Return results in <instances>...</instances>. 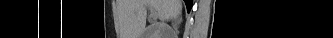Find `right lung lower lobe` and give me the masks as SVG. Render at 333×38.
<instances>
[{
    "label": "right lung lower lobe",
    "instance_id": "obj_1",
    "mask_svg": "<svg viewBox=\"0 0 333 38\" xmlns=\"http://www.w3.org/2000/svg\"><path fill=\"white\" fill-rule=\"evenodd\" d=\"M184 1L186 3L187 9L189 11L191 9V7H192V0H184Z\"/></svg>",
    "mask_w": 333,
    "mask_h": 38
}]
</instances>
